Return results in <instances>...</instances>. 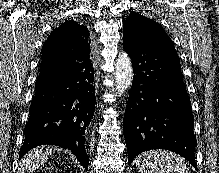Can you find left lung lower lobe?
<instances>
[{
	"label": "left lung lower lobe",
	"instance_id": "0a47b994",
	"mask_svg": "<svg viewBox=\"0 0 219 173\" xmlns=\"http://www.w3.org/2000/svg\"><path fill=\"white\" fill-rule=\"evenodd\" d=\"M123 47L135 74L123 121L128 164L144 151L166 149L197 170L191 101L175 48L128 41Z\"/></svg>",
	"mask_w": 219,
	"mask_h": 173
}]
</instances>
